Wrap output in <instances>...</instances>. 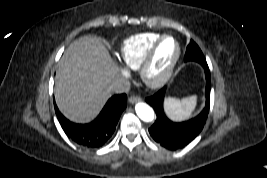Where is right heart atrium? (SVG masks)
I'll use <instances>...</instances> for the list:
<instances>
[{"label":"right heart atrium","mask_w":267,"mask_h":178,"mask_svg":"<svg viewBox=\"0 0 267 178\" xmlns=\"http://www.w3.org/2000/svg\"><path fill=\"white\" fill-rule=\"evenodd\" d=\"M121 75H122V77L125 78V79H128V78L130 77V73H129V71H128L127 69H125V68H123V69L121 70Z\"/></svg>","instance_id":"d8ad5b80"}]
</instances>
